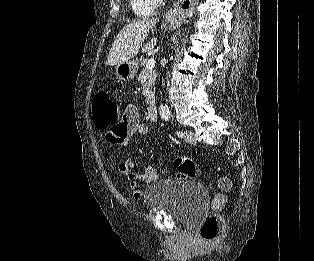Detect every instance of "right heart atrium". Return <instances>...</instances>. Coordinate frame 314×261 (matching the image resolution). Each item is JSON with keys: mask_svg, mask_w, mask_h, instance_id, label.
<instances>
[{"mask_svg": "<svg viewBox=\"0 0 314 261\" xmlns=\"http://www.w3.org/2000/svg\"><path fill=\"white\" fill-rule=\"evenodd\" d=\"M152 2L157 7L162 2V0H152Z\"/></svg>", "mask_w": 314, "mask_h": 261, "instance_id": "obj_1", "label": "right heart atrium"}]
</instances>
